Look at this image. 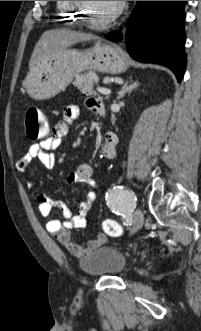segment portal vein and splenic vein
I'll return each instance as SVG.
<instances>
[{"label":"portal vein and splenic vein","instance_id":"obj_1","mask_svg":"<svg viewBox=\"0 0 201 331\" xmlns=\"http://www.w3.org/2000/svg\"><path fill=\"white\" fill-rule=\"evenodd\" d=\"M97 91L103 95H110L111 90L103 87H97Z\"/></svg>","mask_w":201,"mask_h":331}]
</instances>
